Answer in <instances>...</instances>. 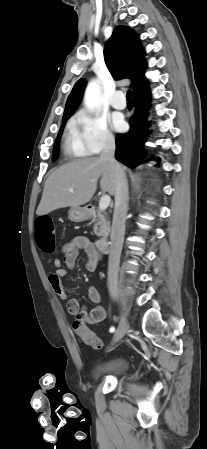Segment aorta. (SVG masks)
<instances>
[{
    "mask_svg": "<svg viewBox=\"0 0 207 449\" xmlns=\"http://www.w3.org/2000/svg\"><path fill=\"white\" fill-rule=\"evenodd\" d=\"M101 88L97 80L88 83L84 94V103L88 110L92 111L100 105Z\"/></svg>",
    "mask_w": 207,
    "mask_h": 449,
    "instance_id": "obj_1",
    "label": "aorta"
}]
</instances>
